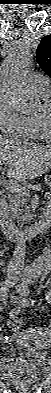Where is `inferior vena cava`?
<instances>
[{
	"instance_id": "inferior-vena-cava-1",
	"label": "inferior vena cava",
	"mask_w": 51,
	"mask_h": 393,
	"mask_svg": "<svg viewBox=\"0 0 51 393\" xmlns=\"http://www.w3.org/2000/svg\"><path fill=\"white\" fill-rule=\"evenodd\" d=\"M25 254H26L25 240L23 238H20V240H18L16 243L13 256L9 262V266H8L9 275L21 274L24 268Z\"/></svg>"
}]
</instances>
